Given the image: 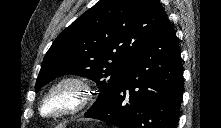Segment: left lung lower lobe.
I'll use <instances>...</instances> for the list:
<instances>
[{"mask_svg": "<svg viewBox=\"0 0 221 128\" xmlns=\"http://www.w3.org/2000/svg\"><path fill=\"white\" fill-rule=\"evenodd\" d=\"M182 95L180 48L167 20L133 60L113 96L85 117L119 128H176Z\"/></svg>", "mask_w": 221, "mask_h": 128, "instance_id": "left-lung-lower-lobe-1", "label": "left lung lower lobe"}]
</instances>
